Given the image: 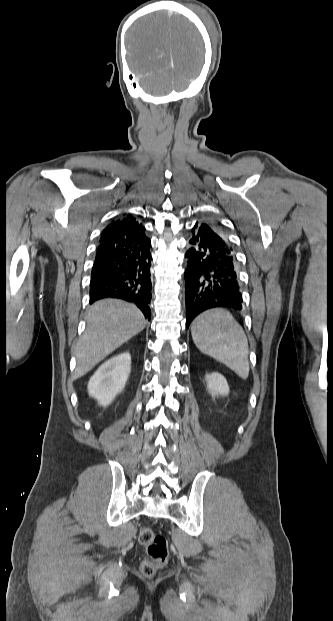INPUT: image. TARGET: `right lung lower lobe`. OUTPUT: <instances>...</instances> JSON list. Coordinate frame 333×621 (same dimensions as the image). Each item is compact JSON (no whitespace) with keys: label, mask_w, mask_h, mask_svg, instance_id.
Returning a JSON list of instances; mask_svg holds the SVG:
<instances>
[{"label":"right lung lower lobe","mask_w":333,"mask_h":621,"mask_svg":"<svg viewBox=\"0 0 333 621\" xmlns=\"http://www.w3.org/2000/svg\"><path fill=\"white\" fill-rule=\"evenodd\" d=\"M150 246L100 244L91 273L90 303L108 297L123 299L135 304L150 320Z\"/></svg>","instance_id":"right-lung-lower-lobe-1"}]
</instances>
